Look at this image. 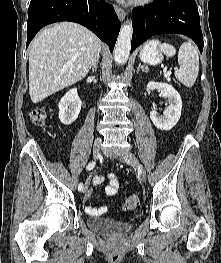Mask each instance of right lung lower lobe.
Masks as SVG:
<instances>
[{"label":"right lung lower lobe","mask_w":221,"mask_h":263,"mask_svg":"<svg viewBox=\"0 0 221 263\" xmlns=\"http://www.w3.org/2000/svg\"><path fill=\"white\" fill-rule=\"evenodd\" d=\"M60 21L87 27L108 44L111 52L121 26L113 6L104 0H31L26 47L42 27Z\"/></svg>","instance_id":"1"}]
</instances>
